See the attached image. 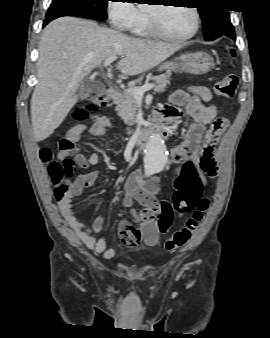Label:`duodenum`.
I'll return each instance as SVG.
<instances>
[{
    "mask_svg": "<svg viewBox=\"0 0 270 338\" xmlns=\"http://www.w3.org/2000/svg\"><path fill=\"white\" fill-rule=\"evenodd\" d=\"M107 94L109 99L112 101L120 100V92L117 88H110ZM168 132V123L162 118H158L157 120H154L149 125L142 128L136 146L142 147L146 143L148 138L153 134L157 137L163 138Z\"/></svg>",
    "mask_w": 270,
    "mask_h": 338,
    "instance_id": "1",
    "label": "duodenum"
}]
</instances>
